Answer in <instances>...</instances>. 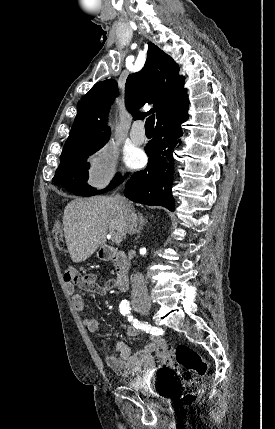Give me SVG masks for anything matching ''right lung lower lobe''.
<instances>
[{
    "instance_id": "obj_1",
    "label": "right lung lower lobe",
    "mask_w": 275,
    "mask_h": 429,
    "mask_svg": "<svg viewBox=\"0 0 275 429\" xmlns=\"http://www.w3.org/2000/svg\"><path fill=\"white\" fill-rule=\"evenodd\" d=\"M188 114L157 125L153 139L145 147L149 157L147 167L134 173L127 181L124 195L137 203L163 206L174 210L171 194L174 159L172 151L180 143L181 124Z\"/></svg>"
}]
</instances>
